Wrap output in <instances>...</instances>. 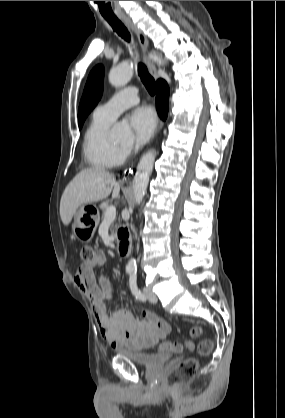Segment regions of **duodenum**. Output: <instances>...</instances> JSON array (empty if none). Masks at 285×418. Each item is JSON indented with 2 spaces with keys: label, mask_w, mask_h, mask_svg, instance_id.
Segmentation results:
<instances>
[{
  "label": "duodenum",
  "mask_w": 285,
  "mask_h": 418,
  "mask_svg": "<svg viewBox=\"0 0 285 418\" xmlns=\"http://www.w3.org/2000/svg\"><path fill=\"white\" fill-rule=\"evenodd\" d=\"M120 243L118 246V254L122 257H127L130 254L131 243L128 238L119 234Z\"/></svg>",
  "instance_id": "obj_1"
}]
</instances>
